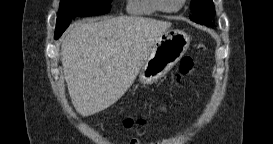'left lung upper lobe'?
<instances>
[{
    "instance_id": "obj_1",
    "label": "left lung upper lobe",
    "mask_w": 273,
    "mask_h": 144,
    "mask_svg": "<svg viewBox=\"0 0 273 144\" xmlns=\"http://www.w3.org/2000/svg\"><path fill=\"white\" fill-rule=\"evenodd\" d=\"M191 20H196L199 16L208 12H215L212 0H191Z\"/></svg>"
}]
</instances>
